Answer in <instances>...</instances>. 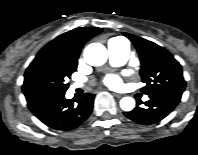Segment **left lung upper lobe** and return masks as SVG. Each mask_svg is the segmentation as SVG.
I'll list each match as a JSON object with an SVG mask.
<instances>
[{
    "mask_svg": "<svg viewBox=\"0 0 198 155\" xmlns=\"http://www.w3.org/2000/svg\"><path fill=\"white\" fill-rule=\"evenodd\" d=\"M135 45L141 60L140 75L146 86L142 92L150 95L161 93L182 95L186 82L179 62L163 47L141 37L123 33Z\"/></svg>",
    "mask_w": 198,
    "mask_h": 155,
    "instance_id": "5c2ea615",
    "label": "left lung upper lobe"
}]
</instances>
